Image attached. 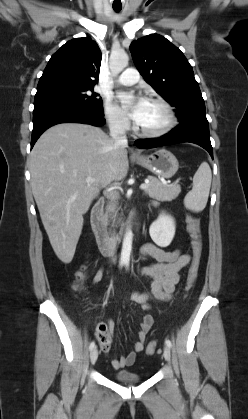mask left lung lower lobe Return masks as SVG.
<instances>
[{"mask_svg": "<svg viewBox=\"0 0 248 419\" xmlns=\"http://www.w3.org/2000/svg\"><path fill=\"white\" fill-rule=\"evenodd\" d=\"M191 142L206 149L213 158L210 142L209 124L206 113H194L180 120V124L160 138L140 139L135 141L139 148H154L158 146Z\"/></svg>", "mask_w": 248, "mask_h": 419, "instance_id": "1", "label": "left lung lower lobe"}]
</instances>
